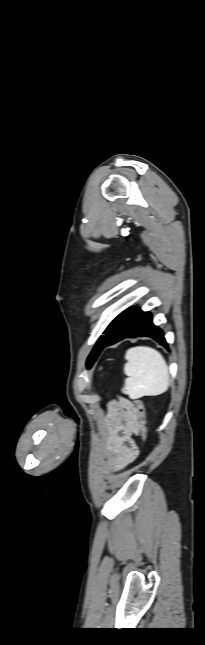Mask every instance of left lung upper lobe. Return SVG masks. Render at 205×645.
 Segmentation results:
<instances>
[{
	"mask_svg": "<svg viewBox=\"0 0 205 645\" xmlns=\"http://www.w3.org/2000/svg\"><path fill=\"white\" fill-rule=\"evenodd\" d=\"M106 331H107V329L104 331V334H106ZM104 336H105V335H102V336L99 338V340H98L97 344L95 345V347L93 348V350H92L91 354L89 355V357H88V359H87V366H88V367H90V365H91V364L94 362V360L96 359V357H97V355H98L99 346H100V344H101L102 339L104 338Z\"/></svg>",
	"mask_w": 205,
	"mask_h": 645,
	"instance_id": "1",
	"label": "left lung upper lobe"
}]
</instances>
